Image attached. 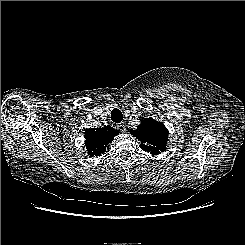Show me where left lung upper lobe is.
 Masks as SVG:
<instances>
[{"mask_svg": "<svg viewBox=\"0 0 245 245\" xmlns=\"http://www.w3.org/2000/svg\"><path fill=\"white\" fill-rule=\"evenodd\" d=\"M130 133L140 140L142 150L156 155L166 150L168 130L164 124L152 118L144 119L136 130Z\"/></svg>", "mask_w": 245, "mask_h": 245, "instance_id": "obj_1", "label": "left lung upper lobe"}]
</instances>
